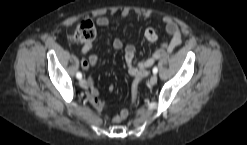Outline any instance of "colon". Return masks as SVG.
<instances>
[{
  "mask_svg": "<svg viewBox=\"0 0 247 145\" xmlns=\"http://www.w3.org/2000/svg\"><path fill=\"white\" fill-rule=\"evenodd\" d=\"M96 36V27L91 20L81 21L74 33L71 36V39L75 42L89 44L91 43ZM138 82L134 81L132 86V100L135 102L138 97Z\"/></svg>",
  "mask_w": 247,
  "mask_h": 145,
  "instance_id": "colon-1",
  "label": "colon"
}]
</instances>
